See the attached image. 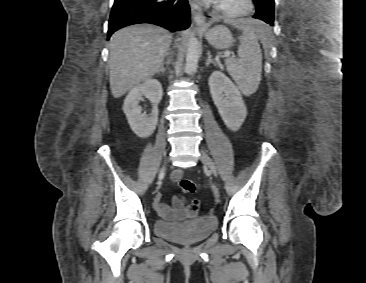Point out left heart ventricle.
Masks as SVG:
<instances>
[{"instance_id":"b2bd125f","label":"left heart ventricle","mask_w":366,"mask_h":283,"mask_svg":"<svg viewBox=\"0 0 366 283\" xmlns=\"http://www.w3.org/2000/svg\"><path fill=\"white\" fill-rule=\"evenodd\" d=\"M220 2L231 8H238L241 6V0H221Z\"/></svg>"}]
</instances>
